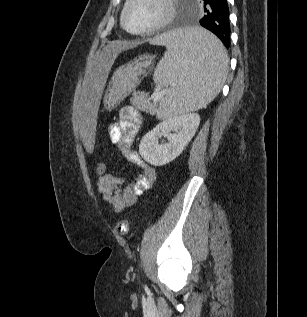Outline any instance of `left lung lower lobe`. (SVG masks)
Instances as JSON below:
<instances>
[{"label":"left lung lower lobe","mask_w":307,"mask_h":317,"mask_svg":"<svg viewBox=\"0 0 307 317\" xmlns=\"http://www.w3.org/2000/svg\"><path fill=\"white\" fill-rule=\"evenodd\" d=\"M204 17L200 24L214 33L225 45L230 46L229 7L227 0H203Z\"/></svg>","instance_id":"0a47b994"}]
</instances>
